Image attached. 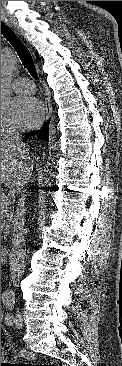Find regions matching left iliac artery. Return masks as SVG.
<instances>
[{"instance_id":"obj_1","label":"left iliac artery","mask_w":122,"mask_h":366,"mask_svg":"<svg viewBox=\"0 0 122 366\" xmlns=\"http://www.w3.org/2000/svg\"><path fill=\"white\" fill-rule=\"evenodd\" d=\"M4 304L8 311H12L14 308V300L13 299H7L4 301ZM5 321L8 325H12L14 322V316L12 313H7L5 316Z\"/></svg>"}]
</instances>
